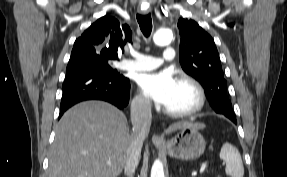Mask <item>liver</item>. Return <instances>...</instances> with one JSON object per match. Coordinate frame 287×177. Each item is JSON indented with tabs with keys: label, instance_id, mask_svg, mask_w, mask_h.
<instances>
[{
	"label": "liver",
	"instance_id": "obj_1",
	"mask_svg": "<svg viewBox=\"0 0 287 177\" xmlns=\"http://www.w3.org/2000/svg\"><path fill=\"white\" fill-rule=\"evenodd\" d=\"M187 126L205 128L204 124L177 122L166 132ZM131 142L123 112L102 101L79 103L65 112L56 126L47 177H117Z\"/></svg>",
	"mask_w": 287,
	"mask_h": 177
}]
</instances>
